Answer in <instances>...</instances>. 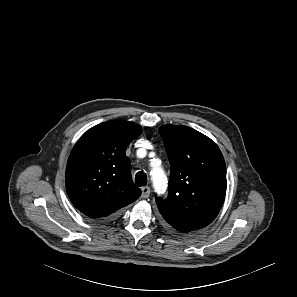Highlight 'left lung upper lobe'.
Instances as JSON below:
<instances>
[{
    "label": "left lung upper lobe",
    "mask_w": 297,
    "mask_h": 297,
    "mask_svg": "<svg viewBox=\"0 0 297 297\" xmlns=\"http://www.w3.org/2000/svg\"><path fill=\"white\" fill-rule=\"evenodd\" d=\"M171 165L169 196L156 198L169 227L188 233L209 225L226 195V165L218 146L184 125L159 129Z\"/></svg>",
    "instance_id": "obj_1"
}]
</instances>
